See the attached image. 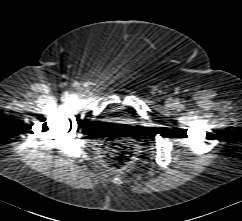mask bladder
Wrapping results in <instances>:
<instances>
[{
	"label": "bladder",
	"instance_id": "bladder-1",
	"mask_svg": "<svg viewBox=\"0 0 242 221\" xmlns=\"http://www.w3.org/2000/svg\"><path fill=\"white\" fill-rule=\"evenodd\" d=\"M121 113L122 112L119 111V108L115 107V110L110 114V117L115 124H120L124 119H127L126 116Z\"/></svg>",
	"mask_w": 242,
	"mask_h": 221
}]
</instances>
